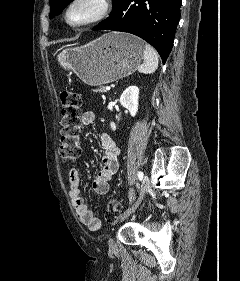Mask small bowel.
Instances as JSON below:
<instances>
[{
    "label": "small bowel",
    "instance_id": "c3829d8e",
    "mask_svg": "<svg viewBox=\"0 0 240 281\" xmlns=\"http://www.w3.org/2000/svg\"><path fill=\"white\" fill-rule=\"evenodd\" d=\"M95 120L93 111H85L81 116L83 125H91ZM103 156L98 166L97 174L92 179V189L96 194L105 195L109 191V182L118 169V156L120 149L111 136L107 133L100 135ZM70 190L69 196L73 208L80 221L90 230H98L101 226V220L94 215L88 208L80 191V172L76 167H72L69 171Z\"/></svg>",
    "mask_w": 240,
    "mask_h": 281
}]
</instances>
